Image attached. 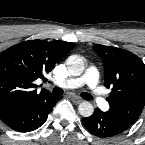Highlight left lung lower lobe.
<instances>
[{
	"mask_svg": "<svg viewBox=\"0 0 145 145\" xmlns=\"http://www.w3.org/2000/svg\"><path fill=\"white\" fill-rule=\"evenodd\" d=\"M82 122L86 129L98 137H113L127 130L124 126L116 122L111 116L96 109L92 116L83 118Z\"/></svg>",
	"mask_w": 145,
	"mask_h": 145,
	"instance_id": "1",
	"label": "left lung lower lobe"
}]
</instances>
